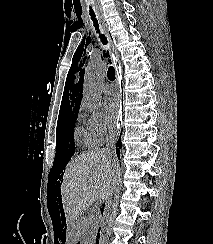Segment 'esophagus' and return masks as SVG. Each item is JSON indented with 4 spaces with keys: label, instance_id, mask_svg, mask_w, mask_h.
I'll use <instances>...</instances> for the list:
<instances>
[{
    "label": "esophagus",
    "instance_id": "34e87169",
    "mask_svg": "<svg viewBox=\"0 0 213 244\" xmlns=\"http://www.w3.org/2000/svg\"><path fill=\"white\" fill-rule=\"evenodd\" d=\"M103 29H104V31L105 32H107L108 33V28H107V26L103 23ZM115 57H111V58H107V63L109 64V63H112L114 66H115V68H116V83H117V86H119V84H120V70H121V67H120V63H119V56H118V52L115 50ZM117 62V63H116ZM117 95H118V98H120V94H119V92L117 93Z\"/></svg>",
    "mask_w": 213,
    "mask_h": 244
}]
</instances>
